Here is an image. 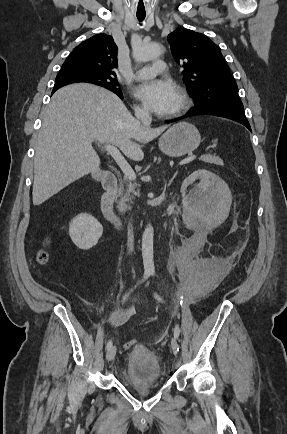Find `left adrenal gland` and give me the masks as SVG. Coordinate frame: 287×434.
<instances>
[{
    "label": "left adrenal gland",
    "instance_id": "1",
    "mask_svg": "<svg viewBox=\"0 0 287 434\" xmlns=\"http://www.w3.org/2000/svg\"><path fill=\"white\" fill-rule=\"evenodd\" d=\"M177 173L174 174V176L171 178V180L169 181L168 185H171V183L173 182L174 178L176 177Z\"/></svg>",
    "mask_w": 287,
    "mask_h": 434
}]
</instances>
